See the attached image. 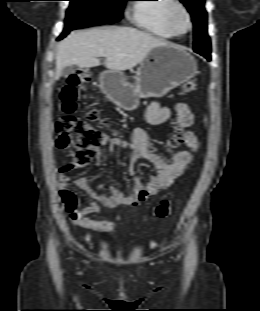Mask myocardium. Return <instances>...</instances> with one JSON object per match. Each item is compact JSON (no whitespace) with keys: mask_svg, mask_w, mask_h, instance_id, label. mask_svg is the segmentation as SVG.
I'll list each match as a JSON object with an SVG mask.
<instances>
[{"mask_svg":"<svg viewBox=\"0 0 260 311\" xmlns=\"http://www.w3.org/2000/svg\"><path fill=\"white\" fill-rule=\"evenodd\" d=\"M182 13L187 21L188 27L186 31L180 32L176 29L174 25V17L176 13ZM166 23L171 30V32L174 34V36H183L189 33L192 28H193V23H192V18L191 15L188 11V9L185 7L183 3H181L178 0H172L171 3L168 5L167 10H166Z\"/></svg>","mask_w":260,"mask_h":311,"instance_id":"obj_1","label":"myocardium"}]
</instances>
